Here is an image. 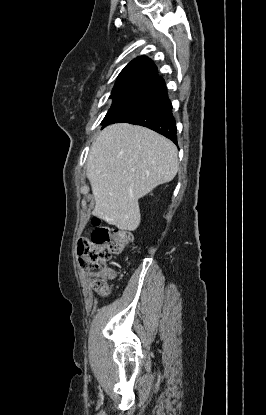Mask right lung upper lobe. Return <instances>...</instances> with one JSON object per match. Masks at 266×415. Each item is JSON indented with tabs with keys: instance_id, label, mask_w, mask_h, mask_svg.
I'll list each match as a JSON object with an SVG mask.
<instances>
[{
	"instance_id": "right-lung-upper-lobe-1",
	"label": "right lung upper lobe",
	"mask_w": 266,
	"mask_h": 415,
	"mask_svg": "<svg viewBox=\"0 0 266 415\" xmlns=\"http://www.w3.org/2000/svg\"><path fill=\"white\" fill-rule=\"evenodd\" d=\"M165 86L155 64L145 56L137 57L119 74L112 92H138L151 94Z\"/></svg>"
}]
</instances>
